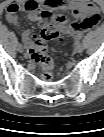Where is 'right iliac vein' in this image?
I'll return each mask as SVG.
<instances>
[{
  "mask_svg": "<svg viewBox=\"0 0 104 137\" xmlns=\"http://www.w3.org/2000/svg\"><path fill=\"white\" fill-rule=\"evenodd\" d=\"M17 50H18L20 53H22V52L24 51V49H23V47H22L21 44H18Z\"/></svg>",
  "mask_w": 104,
  "mask_h": 137,
  "instance_id": "obj_1",
  "label": "right iliac vein"
}]
</instances>
